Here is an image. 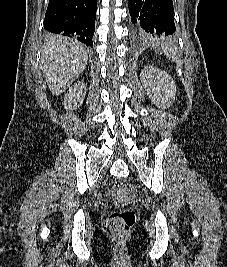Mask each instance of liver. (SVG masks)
<instances>
[{"instance_id":"6515ba94","label":"liver","mask_w":227,"mask_h":267,"mask_svg":"<svg viewBox=\"0 0 227 267\" xmlns=\"http://www.w3.org/2000/svg\"><path fill=\"white\" fill-rule=\"evenodd\" d=\"M88 49L77 40L51 36L43 46L41 64L53 95L63 93L85 70Z\"/></svg>"}]
</instances>
